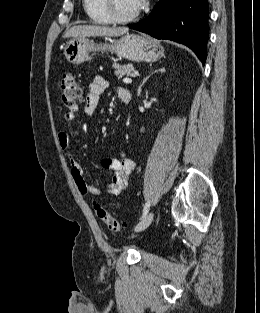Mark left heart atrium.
<instances>
[{"mask_svg":"<svg viewBox=\"0 0 260 313\" xmlns=\"http://www.w3.org/2000/svg\"><path fill=\"white\" fill-rule=\"evenodd\" d=\"M137 1H138V6L142 7L146 0H137Z\"/></svg>","mask_w":260,"mask_h":313,"instance_id":"obj_1","label":"left heart atrium"}]
</instances>
